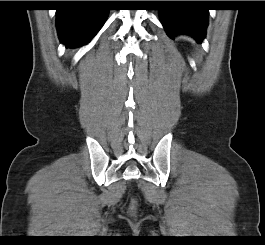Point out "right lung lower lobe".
<instances>
[{
	"instance_id": "obj_1",
	"label": "right lung lower lobe",
	"mask_w": 265,
	"mask_h": 245,
	"mask_svg": "<svg viewBox=\"0 0 265 245\" xmlns=\"http://www.w3.org/2000/svg\"><path fill=\"white\" fill-rule=\"evenodd\" d=\"M108 9L101 1H81L78 7L57 10V29L62 43L69 48L87 44L99 32Z\"/></svg>"
}]
</instances>
